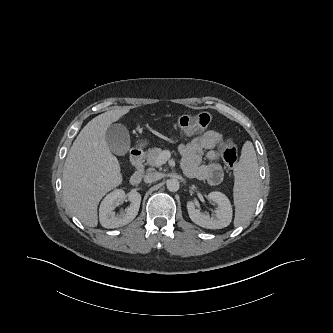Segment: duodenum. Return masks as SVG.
Listing matches in <instances>:
<instances>
[{
    "mask_svg": "<svg viewBox=\"0 0 333 333\" xmlns=\"http://www.w3.org/2000/svg\"><path fill=\"white\" fill-rule=\"evenodd\" d=\"M131 162L135 168V171L131 175L129 182L131 185L136 186L141 182V180L144 176V173H145L144 152L140 149L133 150L132 154H131Z\"/></svg>",
    "mask_w": 333,
    "mask_h": 333,
    "instance_id": "410a0bca",
    "label": "duodenum"
}]
</instances>
